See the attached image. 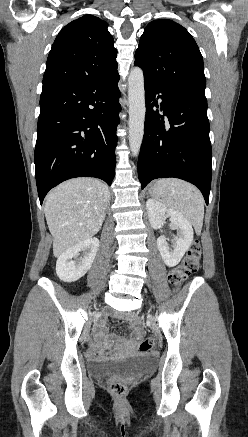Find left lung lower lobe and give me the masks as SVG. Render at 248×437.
Masks as SVG:
<instances>
[{"label":"left lung lower lobe","mask_w":248,"mask_h":437,"mask_svg":"<svg viewBox=\"0 0 248 437\" xmlns=\"http://www.w3.org/2000/svg\"><path fill=\"white\" fill-rule=\"evenodd\" d=\"M145 132L138 159L142 189L153 179L175 177L197 186L206 204L212 176L207 100L164 90L145 80ZM161 110L158 114V102Z\"/></svg>","instance_id":"obj_1"}]
</instances>
